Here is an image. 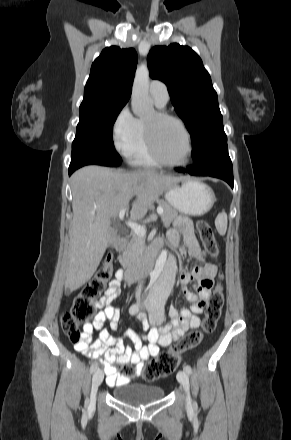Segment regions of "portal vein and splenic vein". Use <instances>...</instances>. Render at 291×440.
Wrapping results in <instances>:
<instances>
[{
	"label": "portal vein and splenic vein",
	"mask_w": 291,
	"mask_h": 440,
	"mask_svg": "<svg viewBox=\"0 0 291 440\" xmlns=\"http://www.w3.org/2000/svg\"><path fill=\"white\" fill-rule=\"evenodd\" d=\"M125 212H126V209H125V208H124V209H121V211L119 212V219H120V220H123V219H124ZM158 213H159V215H162V213H163V208H162V207H159V208H158ZM126 225H127L128 227H130L131 230H132L135 234H137V235H139V236H141V237H143V236L146 235V229H145L144 226H141V225H139V224H137V223H134V222H131V221L126 222Z\"/></svg>",
	"instance_id": "18ae733b"
}]
</instances>
